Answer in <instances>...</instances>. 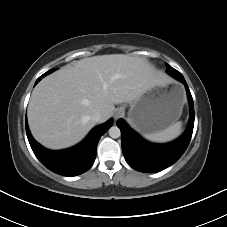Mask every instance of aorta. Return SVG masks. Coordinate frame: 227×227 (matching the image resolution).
I'll list each match as a JSON object with an SVG mask.
<instances>
[{
  "label": "aorta",
  "instance_id": "obj_1",
  "mask_svg": "<svg viewBox=\"0 0 227 227\" xmlns=\"http://www.w3.org/2000/svg\"><path fill=\"white\" fill-rule=\"evenodd\" d=\"M121 135V131L120 129L117 127V126H112L110 129H109V136L111 138H119Z\"/></svg>",
  "mask_w": 227,
  "mask_h": 227
}]
</instances>
